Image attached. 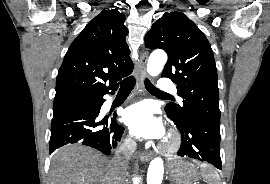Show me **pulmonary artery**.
Listing matches in <instances>:
<instances>
[{"mask_svg": "<svg viewBox=\"0 0 270 184\" xmlns=\"http://www.w3.org/2000/svg\"><path fill=\"white\" fill-rule=\"evenodd\" d=\"M158 88L164 93H174L176 91L175 85L169 79H161L158 83Z\"/></svg>", "mask_w": 270, "mask_h": 184, "instance_id": "1", "label": "pulmonary artery"}]
</instances>
